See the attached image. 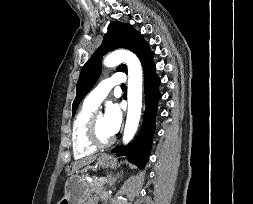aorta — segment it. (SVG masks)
<instances>
[{
    "label": "aorta",
    "mask_w": 253,
    "mask_h": 204,
    "mask_svg": "<svg viewBox=\"0 0 253 204\" xmlns=\"http://www.w3.org/2000/svg\"><path fill=\"white\" fill-rule=\"evenodd\" d=\"M128 67V113L123 134V143L127 144L134 137L141 115L142 107V67L138 57L128 50H117L104 59L106 67L120 63Z\"/></svg>",
    "instance_id": "1"
}]
</instances>
